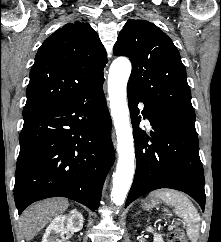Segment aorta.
Wrapping results in <instances>:
<instances>
[{
	"label": "aorta",
	"mask_w": 221,
	"mask_h": 242,
	"mask_svg": "<svg viewBox=\"0 0 221 242\" xmlns=\"http://www.w3.org/2000/svg\"><path fill=\"white\" fill-rule=\"evenodd\" d=\"M131 63L127 58L115 59L109 69L108 93L111 116L117 134L118 163L113 174L112 201L123 205L134 175V140L127 105V82Z\"/></svg>",
	"instance_id": "1"
}]
</instances>
